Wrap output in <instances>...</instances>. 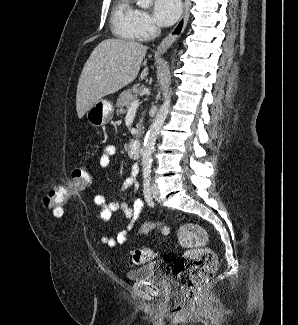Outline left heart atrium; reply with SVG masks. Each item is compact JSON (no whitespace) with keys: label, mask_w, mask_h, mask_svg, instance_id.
<instances>
[{"label":"left heart atrium","mask_w":298,"mask_h":325,"mask_svg":"<svg viewBox=\"0 0 298 325\" xmlns=\"http://www.w3.org/2000/svg\"><path fill=\"white\" fill-rule=\"evenodd\" d=\"M182 12L180 0H155L154 19L159 26L166 27L176 22Z\"/></svg>","instance_id":"1"}]
</instances>
